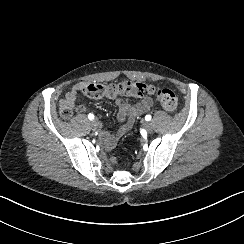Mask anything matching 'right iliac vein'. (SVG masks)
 Instances as JSON below:
<instances>
[{
  "label": "right iliac vein",
  "mask_w": 244,
  "mask_h": 244,
  "mask_svg": "<svg viewBox=\"0 0 244 244\" xmlns=\"http://www.w3.org/2000/svg\"><path fill=\"white\" fill-rule=\"evenodd\" d=\"M90 126H91L94 130L98 129V127H99V122H98V120H96V119L92 120L91 123H90Z\"/></svg>",
  "instance_id": "1"
}]
</instances>
